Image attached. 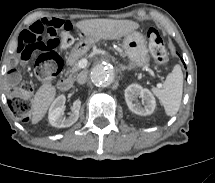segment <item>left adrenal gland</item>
Segmentation results:
<instances>
[{
    "label": "left adrenal gland",
    "mask_w": 215,
    "mask_h": 183,
    "mask_svg": "<svg viewBox=\"0 0 215 183\" xmlns=\"http://www.w3.org/2000/svg\"><path fill=\"white\" fill-rule=\"evenodd\" d=\"M120 68L122 71L130 70V68H128L127 66H124L123 64H120Z\"/></svg>",
    "instance_id": "left-adrenal-gland-1"
}]
</instances>
